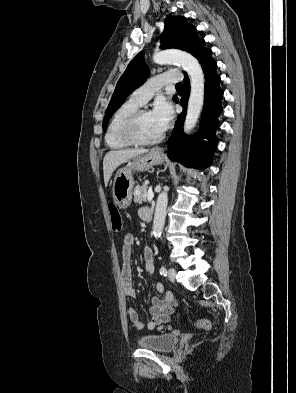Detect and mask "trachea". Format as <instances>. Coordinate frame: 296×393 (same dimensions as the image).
I'll list each match as a JSON object with an SVG mask.
<instances>
[{
	"mask_svg": "<svg viewBox=\"0 0 296 393\" xmlns=\"http://www.w3.org/2000/svg\"><path fill=\"white\" fill-rule=\"evenodd\" d=\"M176 87H182L181 83L176 84Z\"/></svg>",
	"mask_w": 296,
	"mask_h": 393,
	"instance_id": "trachea-1",
	"label": "trachea"
}]
</instances>
